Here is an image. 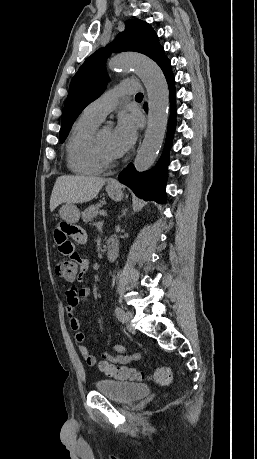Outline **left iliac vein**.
Wrapping results in <instances>:
<instances>
[{"instance_id":"left-iliac-vein-1","label":"left iliac vein","mask_w":257,"mask_h":459,"mask_svg":"<svg viewBox=\"0 0 257 459\" xmlns=\"http://www.w3.org/2000/svg\"><path fill=\"white\" fill-rule=\"evenodd\" d=\"M124 317H125V321L127 322V329L128 331L134 333L135 332V329L133 327V325L131 324V319L133 317V314L132 312L130 311H127L124 313Z\"/></svg>"}]
</instances>
